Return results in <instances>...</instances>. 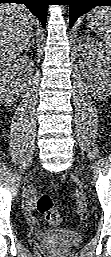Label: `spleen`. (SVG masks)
I'll use <instances>...</instances> for the list:
<instances>
[{"label": "spleen", "instance_id": "1", "mask_svg": "<svg viewBox=\"0 0 111 257\" xmlns=\"http://www.w3.org/2000/svg\"><path fill=\"white\" fill-rule=\"evenodd\" d=\"M89 27L111 48V7H96L86 18Z\"/></svg>", "mask_w": 111, "mask_h": 257}]
</instances>
